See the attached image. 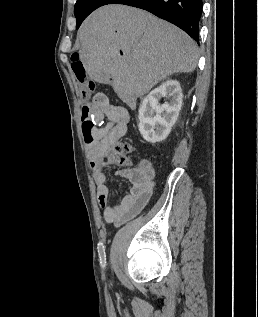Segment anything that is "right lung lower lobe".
<instances>
[{"instance_id":"1","label":"right lung lower lobe","mask_w":258,"mask_h":317,"mask_svg":"<svg viewBox=\"0 0 258 317\" xmlns=\"http://www.w3.org/2000/svg\"><path fill=\"white\" fill-rule=\"evenodd\" d=\"M107 4H124L141 8L175 24L199 44V21L202 0H86L77 15L78 28L95 9Z\"/></svg>"}]
</instances>
